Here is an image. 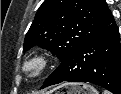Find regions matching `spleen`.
I'll return each mask as SVG.
<instances>
[{"label": "spleen", "mask_w": 121, "mask_h": 94, "mask_svg": "<svg viewBox=\"0 0 121 94\" xmlns=\"http://www.w3.org/2000/svg\"><path fill=\"white\" fill-rule=\"evenodd\" d=\"M103 94H109L107 91H104Z\"/></svg>", "instance_id": "obj_1"}]
</instances>
